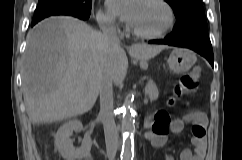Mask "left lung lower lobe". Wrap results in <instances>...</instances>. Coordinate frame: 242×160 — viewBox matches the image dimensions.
<instances>
[{
  "instance_id": "left-lung-lower-lobe-1",
  "label": "left lung lower lobe",
  "mask_w": 242,
  "mask_h": 160,
  "mask_svg": "<svg viewBox=\"0 0 242 160\" xmlns=\"http://www.w3.org/2000/svg\"><path fill=\"white\" fill-rule=\"evenodd\" d=\"M149 43L189 48L205 57L212 66L214 64L213 51L208 32H193L179 38L168 35L164 39L151 40Z\"/></svg>"
}]
</instances>
